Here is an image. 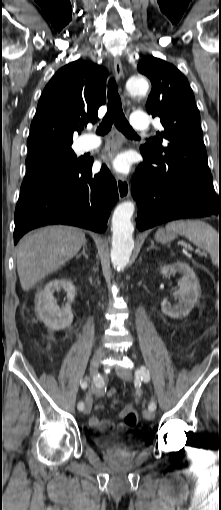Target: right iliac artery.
Returning a JSON list of instances; mask_svg holds the SVG:
<instances>
[{"label": "right iliac artery", "mask_w": 221, "mask_h": 510, "mask_svg": "<svg viewBox=\"0 0 221 510\" xmlns=\"http://www.w3.org/2000/svg\"><path fill=\"white\" fill-rule=\"evenodd\" d=\"M81 387L83 389L87 388V381L86 380L81 383ZM77 408H78V410L82 411L84 409V403L83 402H79L78 405H77Z\"/></svg>", "instance_id": "obj_1"}]
</instances>
